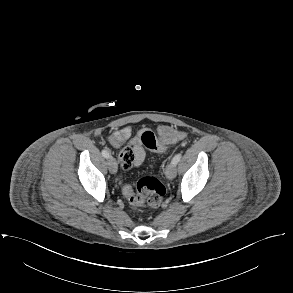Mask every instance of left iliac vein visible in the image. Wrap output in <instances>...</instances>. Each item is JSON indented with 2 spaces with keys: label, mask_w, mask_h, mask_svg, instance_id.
Instances as JSON below:
<instances>
[{
  "label": "left iliac vein",
  "mask_w": 293,
  "mask_h": 293,
  "mask_svg": "<svg viewBox=\"0 0 293 293\" xmlns=\"http://www.w3.org/2000/svg\"><path fill=\"white\" fill-rule=\"evenodd\" d=\"M176 165L172 162L169 163L165 168V175L168 179L172 180L176 177Z\"/></svg>",
  "instance_id": "left-iliac-vein-1"
}]
</instances>
